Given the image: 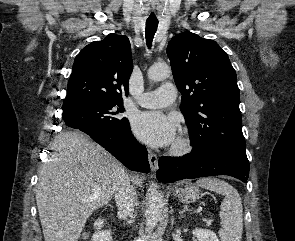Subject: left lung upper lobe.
Wrapping results in <instances>:
<instances>
[{"mask_svg": "<svg viewBox=\"0 0 295 241\" xmlns=\"http://www.w3.org/2000/svg\"><path fill=\"white\" fill-rule=\"evenodd\" d=\"M167 55L193 151L224 148L246 155L240 92L227 53L213 40L184 32L170 40Z\"/></svg>", "mask_w": 295, "mask_h": 241, "instance_id": "obj_1", "label": "left lung upper lobe"}]
</instances>
